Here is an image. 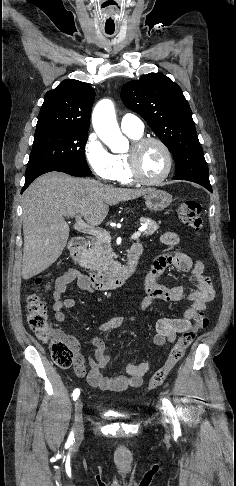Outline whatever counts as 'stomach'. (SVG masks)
Listing matches in <instances>:
<instances>
[{
    "instance_id": "0dacf381",
    "label": "stomach",
    "mask_w": 236,
    "mask_h": 486,
    "mask_svg": "<svg viewBox=\"0 0 236 486\" xmlns=\"http://www.w3.org/2000/svg\"><path fill=\"white\" fill-rule=\"evenodd\" d=\"M145 204L150 211L158 212L166 209L172 202V196L163 190H152L145 195Z\"/></svg>"
}]
</instances>
